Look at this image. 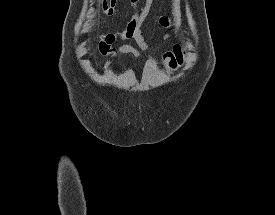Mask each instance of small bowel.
Listing matches in <instances>:
<instances>
[{
  "label": "small bowel",
  "mask_w": 275,
  "mask_h": 215,
  "mask_svg": "<svg viewBox=\"0 0 275 215\" xmlns=\"http://www.w3.org/2000/svg\"><path fill=\"white\" fill-rule=\"evenodd\" d=\"M136 3L138 0H133ZM103 20L105 21L107 17L113 14V9H111L105 0L101 5ZM146 17V12L144 11L139 18L132 20L126 30L122 33H107L98 35L97 38L99 40V48L101 53L111 59L114 58L118 54L128 55L133 58H139L142 52H151L154 50V47L151 46L144 36L142 35V26L144 24ZM161 25L168 27L170 22L166 18H161ZM117 39H134L139 47V49L131 46V45H122L118 48H113L112 45L115 43ZM171 39L169 34H166L162 38V42H167Z\"/></svg>",
  "instance_id": "c3829d8e"
}]
</instances>
